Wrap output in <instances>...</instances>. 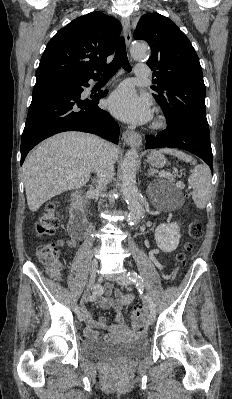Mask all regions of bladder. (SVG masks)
Wrapping results in <instances>:
<instances>
[{"label":"bladder","mask_w":232,"mask_h":399,"mask_svg":"<svg viewBox=\"0 0 232 399\" xmlns=\"http://www.w3.org/2000/svg\"><path fill=\"white\" fill-rule=\"evenodd\" d=\"M149 350L146 339L127 343H112L97 339H84L79 345L80 355L85 359H134L145 355Z\"/></svg>","instance_id":"obj_1"}]
</instances>
